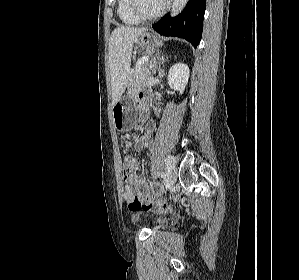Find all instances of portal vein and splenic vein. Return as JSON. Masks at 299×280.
I'll list each match as a JSON object with an SVG mask.
<instances>
[{
    "label": "portal vein and splenic vein",
    "instance_id": "18ae733b",
    "mask_svg": "<svg viewBox=\"0 0 299 280\" xmlns=\"http://www.w3.org/2000/svg\"><path fill=\"white\" fill-rule=\"evenodd\" d=\"M149 61V58H143L141 59V61H139L138 65L136 66V74H139L140 73V69H141V65L148 62Z\"/></svg>",
    "mask_w": 299,
    "mask_h": 280
}]
</instances>
